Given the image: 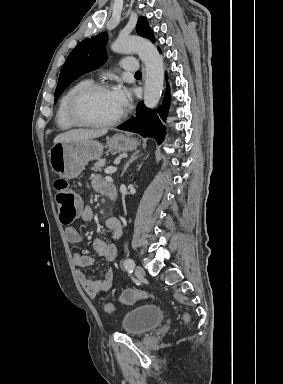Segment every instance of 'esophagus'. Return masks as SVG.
Instances as JSON below:
<instances>
[{
    "label": "esophagus",
    "mask_w": 283,
    "mask_h": 384,
    "mask_svg": "<svg viewBox=\"0 0 283 384\" xmlns=\"http://www.w3.org/2000/svg\"><path fill=\"white\" fill-rule=\"evenodd\" d=\"M142 70H143V78L145 77V66L142 65Z\"/></svg>",
    "instance_id": "esophagus-1"
}]
</instances>
